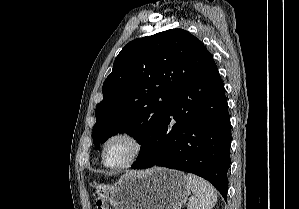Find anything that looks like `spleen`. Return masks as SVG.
<instances>
[{
	"label": "spleen",
	"instance_id": "1",
	"mask_svg": "<svg viewBox=\"0 0 299 209\" xmlns=\"http://www.w3.org/2000/svg\"><path fill=\"white\" fill-rule=\"evenodd\" d=\"M193 196L190 198L187 209H212L217 202V193L214 187L206 180L188 173Z\"/></svg>",
	"mask_w": 299,
	"mask_h": 209
}]
</instances>
